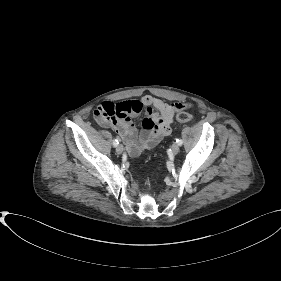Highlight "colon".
<instances>
[{
	"instance_id": "obj_1",
	"label": "colon",
	"mask_w": 281,
	"mask_h": 281,
	"mask_svg": "<svg viewBox=\"0 0 281 281\" xmlns=\"http://www.w3.org/2000/svg\"><path fill=\"white\" fill-rule=\"evenodd\" d=\"M140 105L134 103L132 107L127 105L125 102L118 104L106 103L100 106L96 112V117L101 121H115L118 118H123L132 111L140 110ZM176 120L182 124H188L192 121V116L188 112H179L176 114Z\"/></svg>"
}]
</instances>
